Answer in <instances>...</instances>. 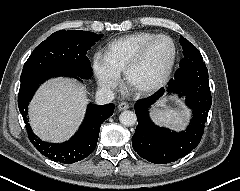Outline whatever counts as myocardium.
<instances>
[{"instance_id": "myocardium-1", "label": "myocardium", "mask_w": 240, "mask_h": 191, "mask_svg": "<svg viewBox=\"0 0 240 191\" xmlns=\"http://www.w3.org/2000/svg\"><path fill=\"white\" fill-rule=\"evenodd\" d=\"M160 39L168 40L171 43V46H172L171 60L169 62V65H168L164 75L160 78L159 81H157L155 84H152V85H148V86H134V85H132L131 80H130L132 72L143 62V60H144L148 50L152 46V44L155 43L156 41L160 40ZM176 59H177V46H176L173 38H171L169 35H166V34H157L154 37H152L151 39H149L140 48V50L135 55V57L126 66V68L124 70L125 81L128 84V86L132 90L136 91L138 94H141V95L152 94V93L158 91L159 89H161L168 82V80H169V78L172 74L173 68L175 66Z\"/></svg>"}]
</instances>
